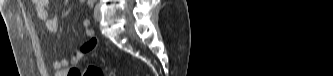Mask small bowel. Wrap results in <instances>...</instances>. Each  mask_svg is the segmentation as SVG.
<instances>
[{"mask_svg":"<svg viewBox=\"0 0 333 76\" xmlns=\"http://www.w3.org/2000/svg\"><path fill=\"white\" fill-rule=\"evenodd\" d=\"M48 3L49 2L46 0H35L34 2L38 10L39 17L45 22L47 29L52 33H56L59 31V23L55 17L50 15L47 8ZM84 26L87 35H93V39L85 41L69 59L54 60L52 67L54 69L55 76H84L82 68H78V63L85 55L95 48L94 41L98 40V34L94 33V30L90 27L89 20L84 21Z\"/></svg>","mask_w":333,"mask_h":76,"instance_id":"1","label":"small bowel"}]
</instances>
